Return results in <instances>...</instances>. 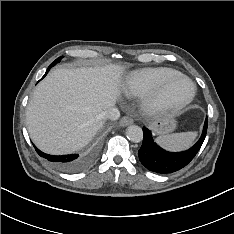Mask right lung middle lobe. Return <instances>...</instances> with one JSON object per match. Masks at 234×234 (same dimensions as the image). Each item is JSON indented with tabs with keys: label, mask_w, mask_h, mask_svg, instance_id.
<instances>
[{
	"label": "right lung middle lobe",
	"mask_w": 234,
	"mask_h": 234,
	"mask_svg": "<svg viewBox=\"0 0 234 234\" xmlns=\"http://www.w3.org/2000/svg\"><path fill=\"white\" fill-rule=\"evenodd\" d=\"M62 58H63V56L57 58V59L51 64V66L56 65Z\"/></svg>",
	"instance_id": "dd1d6c3e"
}]
</instances>
